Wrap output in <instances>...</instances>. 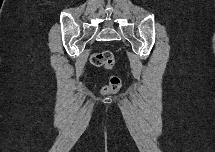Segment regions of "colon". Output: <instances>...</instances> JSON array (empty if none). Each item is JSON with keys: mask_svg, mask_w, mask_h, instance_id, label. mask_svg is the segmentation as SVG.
<instances>
[{"mask_svg": "<svg viewBox=\"0 0 215 152\" xmlns=\"http://www.w3.org/2000/svg\"><path fill=\"white\" fill-rule=\"evenodd\" d=\"M90 61L97 67L112 69L115 65L114 54L111 51L95 52L91 55ZM122 86L121 78L117 75H112L109 82L101 89V93L105 96L117 93Z\"/></svg>", "mask_w": 215, "mask_h": 152, "instance_id": "colon-1", "label": "colon"}]
</instances>
